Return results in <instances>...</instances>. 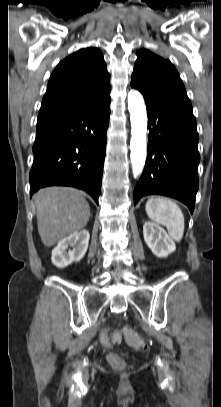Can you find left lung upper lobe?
<instances>
[{"label": "left lung upper lobe", "mask_w": 221, "mask_h": 407, "mask_svg": "<svg viewBox=\"0 0 221 407\" xmlns=\"http://www.w3.org/2000/svg\"><path fill=\"white\" fill-rule=\"evenodd\" d=\"M137 60L131 77V86L143 96L160 98L169 95L187 96L178 72L169 60L146 49L137 52Z\"/></svg>", "instance_id": "left-lung-upper-lobe-1"}]
</instances>
